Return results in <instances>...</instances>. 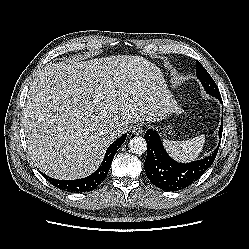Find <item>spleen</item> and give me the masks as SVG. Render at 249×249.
<instances>
[{
	"label": "spleen",
	"mask_w": 249,
	"mask_h": 249,
	"mask_svg": "<svg viewBox=\"0 0 249 249\" xmlns=\"http://www.w3.org/2000/svg\"><path fill=\"white\" fill-rule=\"evenodd\" d=\"M204 143V135H200L192 139L183 141H164V145L170 155L176 160L182 162H189L195 160L199 156Z\"/></svg>",
	"instance_id": "spleen-1"
}]
</instances>
